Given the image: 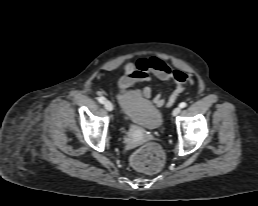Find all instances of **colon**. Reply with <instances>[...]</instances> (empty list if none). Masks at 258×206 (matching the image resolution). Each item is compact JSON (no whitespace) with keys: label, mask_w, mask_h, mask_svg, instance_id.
Wrapping results in <instances>:
<instances>
[{"label":"colon","mask_w":258,"mask_h":206,"mask_svg":"<svg viewBox=\"0 0 258 206\" xmlns=\"http://www.w3.org/2000/svg\"><path fill=\"white\" fill-rule=\"evenodd\" d=\"M164 160L165 156L162 148L154 142L143 145L131 156L133 167L147 173L159 171L164 164Z\"/></svg>","instance_id":"obj_1"}]
</instances>
